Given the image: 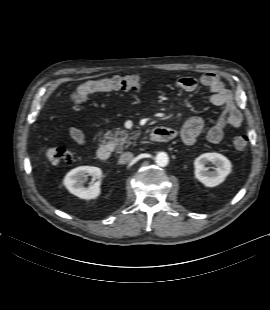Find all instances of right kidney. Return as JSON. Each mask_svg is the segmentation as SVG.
<instances>
[{
  "mask_svg": "<svg viewBox=\"0 0 270 310\" xmlns=\"http://www.w3.org/2000/svg\"><path fill=\"white\" fill-rule=\"evenodd\" d=\"M102 175L98 167L80 166L68 172L63 180V184L70 193L81 199H95L100 195V181H97L89 187L83 186L84 179L87 176H93L100 179Z\"/></svg>",
  "mask_w": 270,
  "mask_h": 310,
  "instance_id": "obj_1",
  "label": "right kidney"
}]
</instances>
